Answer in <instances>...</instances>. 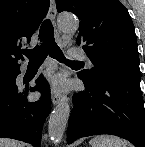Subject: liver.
<instances>
[{
  "mask_svg": "<svg viewBox=\"0 0 145 147\" xmlns=\"http://www.w3.org/2000/svg\"><path fill=\"white\" fill-rule=\"evenodd\" d=\"M0 147H24V145L12 139L0 138Z\"/></svg>",
  "mask_w": 145,
  "mask_h": 147,
  "instance_id": "1",
  "label": "liver"
}]
</instances>
